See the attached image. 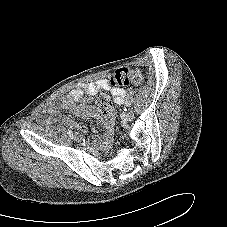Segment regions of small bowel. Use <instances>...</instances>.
I'll use <instances>...</instances> for the list:
<instances>
[{
	"label": "small bowel",
	"instance_id": "obj_1",
	"mask_svg": "<svg viewBox=\"0 0 227 227\" xmlns=\"http://www.w3.org/2000/svg\"><path fill=\"white\" fill-rule=\"evenodd\" d=\"M102 90L111 93L115 104L124 103L126 98L125 89L112 87L109 78H102L94 82L79 83L67 94L44 106L42 110L44 122L52 124L59 120H63L67 125L73 126L81 132L86 133L87 128L83 124L73 122L68 118H62L59 110L66 109L77 116L97 119L108 130L107 133L109 135V129L111 128L116 115L114 107L111 106L107 113H101L96 107L81 103L82 100L88 102L91 97Z\"/></svg>",
	"mask_w": 227,
	"mask_h": 227
}]
</instances>
